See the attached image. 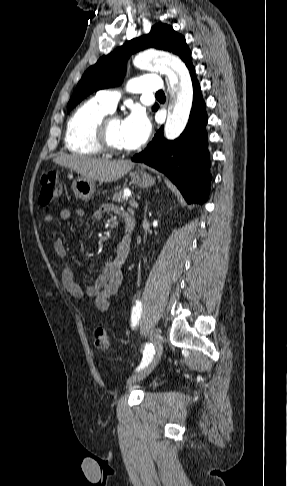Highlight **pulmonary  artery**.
I'll list each match as a JSON object with an SVG mask.
<instances>
[{
  "instance_id": "e3ab8cb5",
  "label": "pulmonary artery",
  "mask_w": 287,
  "mask_h": 486,
  "mask_svg": "<svg viewBox=\"0 0 287 486\" xmlns=\"http://www.w3.org/2000/svg\"><path fill=\"white\" fill-rule=\"evenodd\" d=\"M162 88V81L157 75L141 76L130 82V89L135 93H153ZM119 97V93L115 90H101L96 94V98L111 111L115 109Z\"/></svg>"
}]
</instances>
